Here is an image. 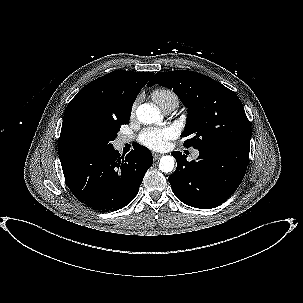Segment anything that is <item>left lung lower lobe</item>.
<instances>
[{"label": "left lung lower lobe", "mask_w": 303, "mask_h": 303, "mask_svg": "<svg viewBox=\"0 0 303 303\" xmlns=\"http://www.w3.org/2000/svg\"><path fill=\"white\" fill-rule=\"evenodd\" d=\"M197 160L174 151L177 161L169 183L183 203L200 208H214L227 200L240 185L249 162L250 146L209 144L198 148Z\"/></svg>", "instance_id": "0a47b994"}]
</instances>
